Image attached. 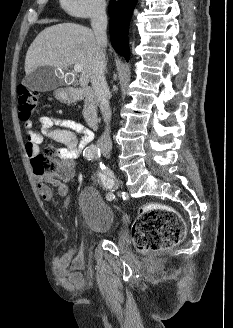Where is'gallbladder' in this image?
<instances>
[{
  "mask_svg": "<svg viewBox=\"0 0 233 328\" xmlns=\"http://www.w3.org/2000/svg\"><path fill=\"white\" fill-rule=\"evenodd\" d=\"M56 72L58 71L52 66H41L28 74L22 83L31 91H51L63 83V80L56 75Z\"/></svg>",
  "mask_w": 233,
  "mask_h": 328,
  "instance_id": "gallbladder-1",
  "label": "gallbladder"
}]
</instances>
